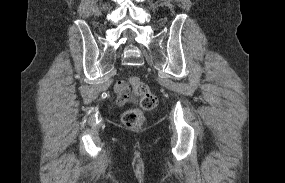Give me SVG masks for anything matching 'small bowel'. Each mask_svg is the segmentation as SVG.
<instances>
[{"instance_id":"small-bowel-1","label":"small bowel","mask_w":285,"mask_h":183,"mask_svg":"<svg viewBox=\"0 0 285 183\" xmlns=\"http://www.w3.org/2000/svg\"><path fill=\"white\" fill-rule=\"evenodd\" d=\"M114 92L117 96V104L126 105L130 101L129 86L125 81H117L114 85Z\"/></svg>"}]
</instances>
